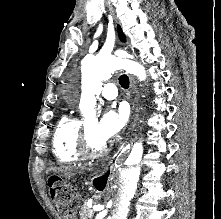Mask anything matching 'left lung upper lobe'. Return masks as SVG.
I'll return each mask as SVG.
<instances>
[{
	"label": "left lung upper lobe",
	"mask_w": 221,
	"mask_h": 219,
	"mask_svg": "<svg viewBox=\"0 0 221 219\" xmlns=\"http://www.w3.org/2000/svg\"><path fill=\"white\" fill-rule=\"evenodd\" d=\"M118 32H119V37H120V39L122 40V41H124L125 39H124V34H123V32H122V30H121V28L118 26Z\"/></svg>",
	"instance_id": "left-lung-upper-lobe-1"
}]
</instances>
